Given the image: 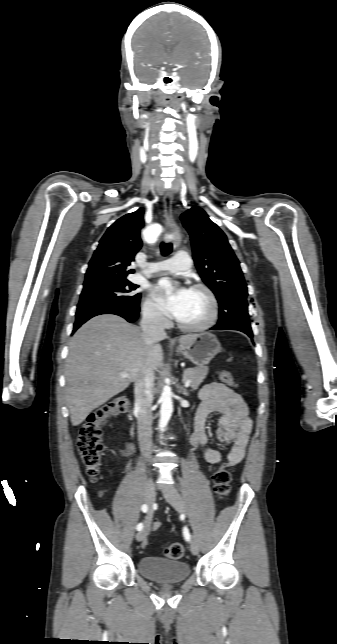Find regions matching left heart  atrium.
<instances>
[{"instance_id": "left-heart-atrium-1", "label": "left heart atrium", "mask_w": 337, "mask_h": 644, "mask_svg": "<svg viewBox=\"0 0 337 644\" xmlns=\"http://www.w3.org/2000/svg\"><path fill=\"white\" fill-rule=\"evenodd\" d=\"M155 293L160 308L168 315L177 318L187 299L189 289L175 288L170 280L162 279L156 284Z\"/></svg>"}]
</instances>
